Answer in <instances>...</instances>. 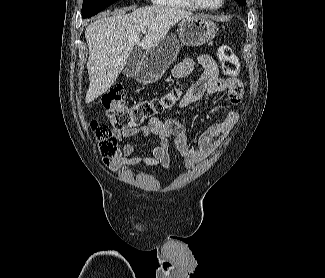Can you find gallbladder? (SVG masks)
<instances>
[{
    "instance_id": "gallbladder-1",
    "label": "gallbladder",
    "mask_w": 325,
    "mask_h": 278,
    "mask_svg": "<svg viewBox=\"0 0 325 278\" xmlns=\"http://www.w3.org/2000/svg\"><path fill=\"white\" fill-rule=\"evenodd\" d=\"M142 55V48L140 46H135L125 62V67L123 70L124 75L127 77H134L136 75L139 61Z\"/></svg>"
}]
</instances>
